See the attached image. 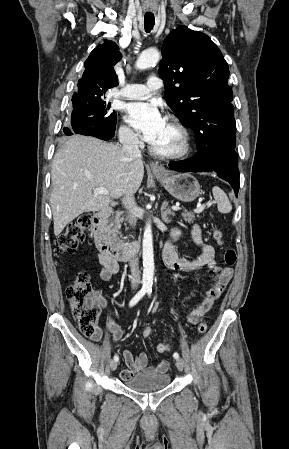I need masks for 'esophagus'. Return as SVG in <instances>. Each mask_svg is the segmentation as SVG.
I'll return each mask as SVG.
<instances>
[{
    "label": "esophagus",
    "mask_w": 289,
    "mask_h": 449,
    "mask_svg": "<svg viewBox=\"0 0 289 449\" xmlns=\"http://www.w3.org/2000/svg\"><path fill=\"white\" fill-rule=\"evenodd\" d=\"M150 168L153 172H164V169L162 166H160L158 163L156 162H150Z\"/></svg>",
    "instance_id": "34e87169"
}]
</instances>
